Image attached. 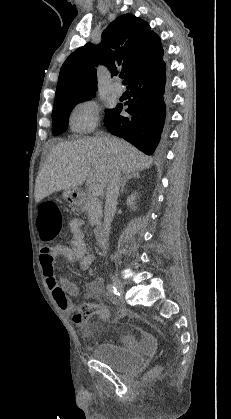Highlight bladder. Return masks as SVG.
<instances>
[{"label":"bladder","instance_id":"bladder-1","mask_svg":"<svg viewBox=\"0 0 231 419\" xmlns=\"http://www.w3.org/2000/svg\"><path fill=\"white\" fill-rule=\"evenodd\" d=\"M93 358L118 372H128L143 365L142 354L130 352L112 342H101L93 350Z\"/></svg>","mask_w":231,"mask_h":419}]
</instances>
